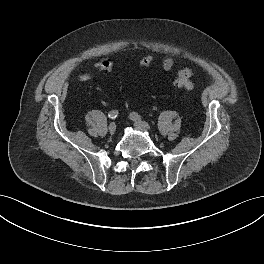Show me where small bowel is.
Wrapping results in <instances>:
<instances>
[{"label":"small bowel","instance_id":"small-bowel-1","mask_svg":"<svg viewBox=\"0 0 264 264\" xmlns=\"http://www.w3.org/2000/svg\"><path fill=\"white\" fill-rule=\"evenodd\" d=\"M174 65H175V63H174V60H173L172 58H166V59L163 61V63H162V67H163V69H164L165 71H169V70L173 69V68H174ZM91 78H92V77H91L90 74H81V75L79 76V79H80L81 81H87V80H90Z\"/></svg>","mask_w":264,"mask_h":264}]
</instances>
